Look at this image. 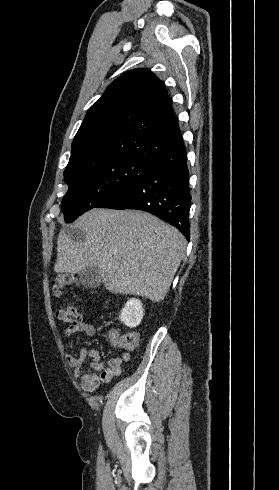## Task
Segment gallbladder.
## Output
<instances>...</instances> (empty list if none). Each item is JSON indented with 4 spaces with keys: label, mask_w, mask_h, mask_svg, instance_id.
Returning <instances> with one entry per match:
<instances>
[{
    "label": "gallbladder",
    "mask_w": 279,
    "mask_h": 490,
    "mask_svg": "<svg viewBox=\"0 0 279 490\" xmlns=\"http://www.w3.org/2000/svg\"><path fill=\"white\" fill-rule=\"evenodd\" d=\"M78 276L79 284L86 286V288H98L102 284L100 270L97 266H88V268L79 272Z\"/></svg>",
    "instance_id": "1"
}]
</instances>
